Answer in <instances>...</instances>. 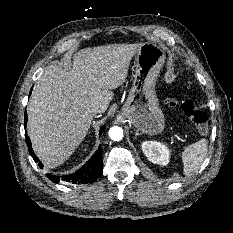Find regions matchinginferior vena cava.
I'll list each match as a JSON object with an SVG mask.
<instances>
[{"mask_svg":"<svg viewBox=\"0 0 233 233\" xmlns=\"http://www.w3.org/2000/svg\"><path fill=\"white\" fill-rule=\"evenodd\" d=\"M98 112H99L98 109L95 108V109H93L92 114L96 115V114H98Z\"/></svg>","mask_w":233,"mask_h":233,"instance_id":"inferior-vena-cava-1","label":"inferior vena cava"}]
</instances>
